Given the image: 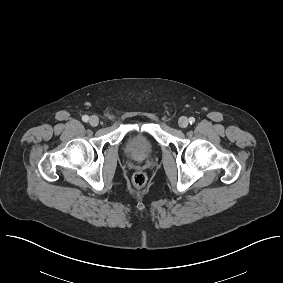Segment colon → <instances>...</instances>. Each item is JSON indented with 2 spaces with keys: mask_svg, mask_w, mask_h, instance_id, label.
I'll return each mask as SVG.
<instances>
[{
  "mask_svg": "<svg viewBox=\"0 0 283 283\" xmlns=\"http://www.w3.org/2000/svg\"><path fill=\"white\" fill-rule=\"evenodd\" d=\"M147 182V176L144 172H136L132 176V184L135 188H142Z\"/></svg>",
  "mask_w": 283,
  "mask_h": 283,
  "instance_id": "5ec220e1",
  "label": "colon"
}]
</instances>
